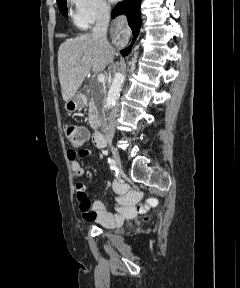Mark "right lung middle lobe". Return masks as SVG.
I'll list each match as a JSON object with an SVG mask.
<instances>
[{
  "mask_svg": "<svg viewBox=\"0 0 240 288\" xmlns=\"http://www.w3.org/2000/svg\"><path fill=\"white\" fill-rule=\"evenodd\" d=\"M66 1L67 0H58L59 10L64 16H67Z\"/></svg>",
  "mask_w": 240,
  "mask_h": 288,
  "instance_id": "dd1d6c3e",
  "label": "right lung middle lobe"
}]
</instances>
